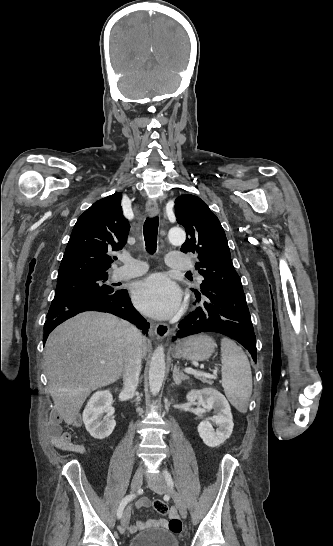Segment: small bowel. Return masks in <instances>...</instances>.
I'll return each instance as SVG.
<instances>
[{
    "label": "small bowel",
    "mask_w": 333,
    "mask_h": 546,
    "mask_svg": "<svg viewBox=\"0 0 333 546\" xmlns=\"http://www.w3.org/2000/svg\"><path fill=\"white\" fill-rule=\"evenodd\" d=\"M74 424L77 425V423H74ZM47 432H48L51 443L55 447L63 449V450L71 451L77 454H81V455L86 454V449L82 445L73 443L71 441V436L62 431L60 417L55 416L50 418ZM148 505H149L148 499L141 500L140 506L146 507ZM169 517H170V521H166V520L147 521V522L137 521L135 524H133L130 527V531L137 532L140 529L144 528L145 526H149L152 524H160L164 526L169 525L170 529L175 533L180 532L181 525H180V522L178 521V512L174 507L171 508V510L169 511Z\"/></svg>",
    "instance_id": "1"
}]
</instances>
